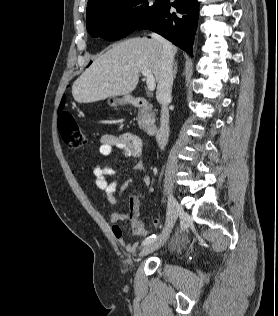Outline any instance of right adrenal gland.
<instances>
[{
	"label": "right adrenal gland",
	"mask_w": 278,
	"mask_h": 316,
	"mask_svg": "<svg viewBox=\"0 0 278 316\" xmlns=\"http://www.w3.org/2000/svg\"><path fill=\"white\" fill-rule=\"evenodd\" d=\"M174 78H176V74H177V61L174 64Z\"/></svg>",
	"instance_id": "1"
}]
</instances>
